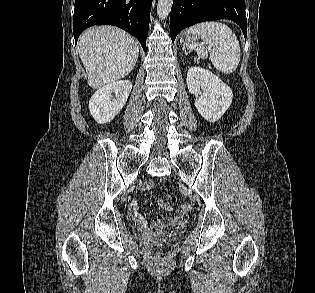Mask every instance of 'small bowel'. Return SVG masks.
Wrapping results in <instances>:
<instances>
[{
  "instance_id": "c3829d8e",
  "label": "small bowel",
  "mask_w": 315,
  "mask_h": 293,
  "mask_svg": "<svg viewBox=\"0 0 315 293\" xmlns=\"http://www.w3.org/2000/svg\"><path fill=\"white\" fill-rule=\"evenodd\" d=\"M153 187V181L152 180H149L147 182L144 183L143 185V190H151ZM160 207L165 210V211H169L170 210V207L163 201H160ZM129 213L132 217V219L139 225L141 226L142 228H145L147 226V222L146 220L144 219V217L142 216V214L140 213V210H139V206H138V203L136 200H133L129 206ZM185 217V212L184 211H177L176 212V219L177 220H181L182 218ZM170 221L169 218L167 217H164L162 219L160 218H156L154 221H153V226L155 228H159L161 227L163 224L165 223H168Z\"/></svg>"
}]
</instances>
